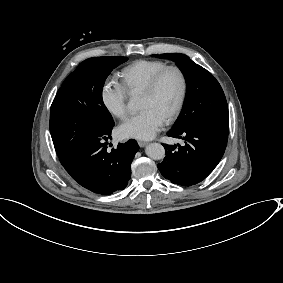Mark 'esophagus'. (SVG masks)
Returning a JSON list of instances; mask_svg holds the SVG:
<instances>
[{
    "label": "esophagus",
    "mask_w": 283,
    "mask_h": 283,
    "mask_svg": "<svg viewBox=\"0 0 283 283\" xmlns=\"http://www.w3.org/2000/svg\"><path fill=\"white\" fill-rule=\"evenodd\" d=\"M140 147H145L148 143L145 141H138Z\"/></svg>",
    "instance_id": "1"
}]
</instances>
